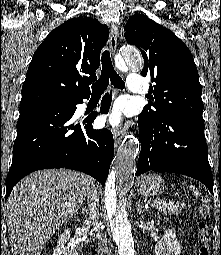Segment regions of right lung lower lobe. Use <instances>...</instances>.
I'll use <instances>...</instances> for the list:
<instances>
[{"instance_id":"1","label":"right lung lower lobe","mask_w":221,"mask_h":255,"mask_svg":"<svg viewBox=\"0 0 221 255\" xmlns=\"http://www.w3.org/2000/svg\"><path fill=\"white\" fill-rule=\"evenodd\" d=\"M89 96L20 108L5 200L17 182L41 169H74L105 185L114 155L112 133L107 129H92L98 112L83 121L73 122L71 119L76 104ZM111 99L109 94L105 95L101 113H108Z\"/></svg>"}]
</instances>
